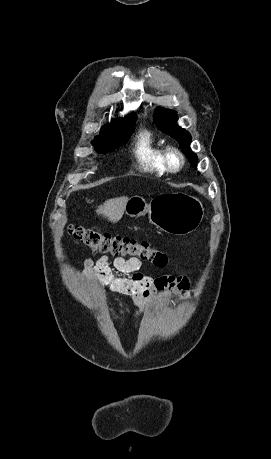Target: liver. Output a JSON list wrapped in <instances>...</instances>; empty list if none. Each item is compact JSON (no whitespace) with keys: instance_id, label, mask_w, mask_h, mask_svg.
Segmentation results:
<instances>
[{"instance_id":"1","label":"liver","mask_w":271,"mask_h":459,"mask_svg":"<svg viewBox=\"0 0 271 459\" xmlns=\"http://www.w3.org/2000/svg\"><path fill=\"white\" fill-rule=\"evenodd\" d=\"M128 198H115V200H107L103 206H99L96 210L97 214L105 216L109 222L116 224L120 218H122Z\"/></svg>"}]
</instances>
